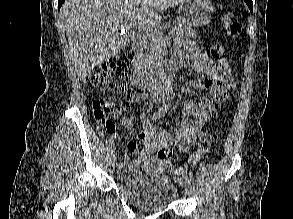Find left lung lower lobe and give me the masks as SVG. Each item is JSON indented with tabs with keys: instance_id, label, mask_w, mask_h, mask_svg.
<instances>
[{
	"instance_id": "left-lung-lower-lobe-1",
	"label": "left lung lower lobe",
	"mask_w": 293,
	"mask_h": 219,
	"mask_svg": "<svg viewBox=\"0 0 293 219\" xmlns=\"http://www.w3.org/2000/svg\"><path fill=\"white\" fill-rule=\"evenodd\" d=\"M244 1L248 5V7H249V9H250V11L252 13V11H253V2H252V0H244Z\"/></svg>"
}]
</instances>
